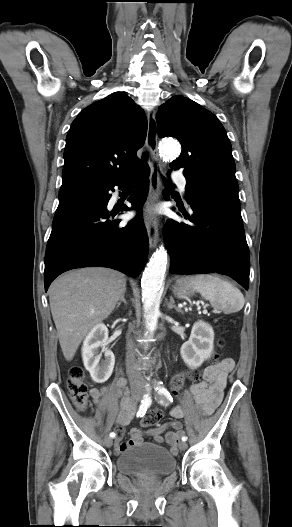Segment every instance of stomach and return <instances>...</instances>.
<instances>
[{"label":"stomach","mask_w":292,"mask_h":527,"mask_svg":"<svg viewBox=\"0 0 292 527\" xmlns=\"http://www.w3.org/2000/svg\"><path fill=\"white\" fill-rule=\"evenodd\" d=\"M173 292L180 298L187 299L194 294V289L189 286L184 280H180L173 287Z\"/></svg>","instance_id":"1"}]
</instances>
